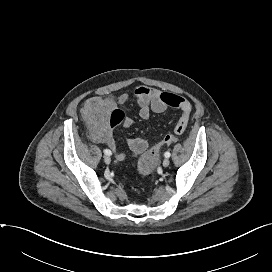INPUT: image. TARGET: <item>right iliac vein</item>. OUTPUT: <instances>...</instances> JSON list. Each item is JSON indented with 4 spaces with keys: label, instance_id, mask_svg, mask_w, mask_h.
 I'll list each match as a JSON object with an SVG mask.
<instances>
[{
    "label": "right iliac vein",
    "instance_id": "right-iliac-vein-1",
    "mask_svg": "<svg viewBox=\"0 0 272 272\" xmlns=\"http://www.w3.org/2000/svg\"><path fill=\"white\" fill-rule=\"evenodd\" d=\"M104 162H105L106 164H110L111 158H110L108 155L104 156Z\"/></svg>",
    "mask_w": 272,
    "mask_h": 272
}]
</instances>
